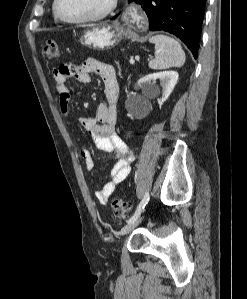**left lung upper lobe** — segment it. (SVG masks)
I'll list each match as a JSON object with an SVG mask.
<instances>
[{
	"label": "left lung upper lobe",
	"instance_id": "left-lung-upper-lobe-1",
	"mask_svg": "<svg viewBox=\"0 0 247 299\" xmlns=\"http://www.w3.org/2000/svg\"><path fill=\"white\" fill-rule=\"evenodd\" d=\"M128 1H129V3H130V2H132L133 0H128Z\"/></svg>",
	"mask_w": 247,
	"mask_h": 299
}]
</instances>
